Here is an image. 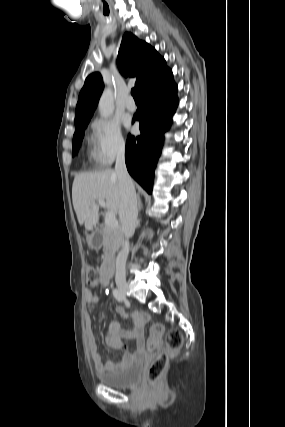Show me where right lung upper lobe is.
I'll return each mask as SVG.
<instances>
[{"instance_id": "right-lung-upper-lobe-1", "label": "right lung upper lobe", "mask_w": 285, "mask_h": 427, "mask_svg": "<svg viewBox=\"0 0 285 427\" xmlns=\"http://www.w3.org/2000/svg\"><path fill=\"white\" fill-rule=\"evenodd\" d=\"M117 62L124 76L137 78L135 86L139 91L167 69L166 61L154 48L128 32L123 36ZM103 87L100 73H92L86 78L76 106L75 128L88 124Z\"/></svg>"}]
</instances>
